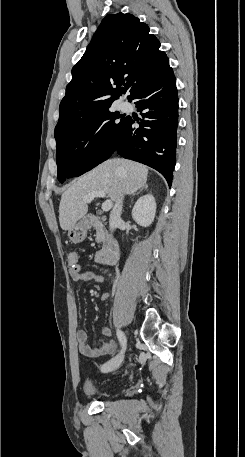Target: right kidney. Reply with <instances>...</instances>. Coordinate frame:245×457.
<instances>
[{
  "instance_id": "ca27d5eb",
  "label": "right kidney",
  "mask_w": 245,
  "mask_h": 457,
  "mask_svg": "<svg viewBox=\"0 0 245 457\" xmlns=\"http://www.w3.org/2000/svg\"><path fill=\"white\" fill-rule=\"evenodd\" d=\"M156 212L155 196L149 192L140 196L132 208V218L141 224V226H149L154 220Z\"/></svg>"
}]
</instances>
